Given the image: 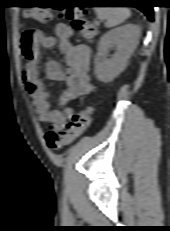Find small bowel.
Here are the masks:
<instances>
[{
	"label": "small bowel",
	"instance_id": "obj_1",
	"mask_svg": "<svg viewBox=\"0 0 170 231\" xmlns=\"http://www.w3.org/2000/svg\"><path fill=\"white\" fill-rule=\"evenodd\" d=\"M56 36H46L38 30H27L21 39V49L26 60L23 80L27 92L33 99L34 109L41 123L50 124L60 132L73 116V109L67 104L79 97L88 96L94 87L89 76L91 49L82 43H73V30L64 23L55 27ZM57 46L61 51L65 67L50 61L45 66L47 78L63 82L66 89L59 98L61 109H53L50 92L39 78L41 49Z\"/></svg>",
	"mask_w": 170,
	"mask_h": 231
}]
</instances>
